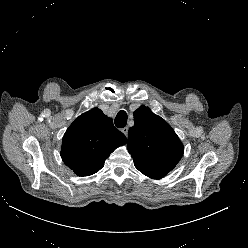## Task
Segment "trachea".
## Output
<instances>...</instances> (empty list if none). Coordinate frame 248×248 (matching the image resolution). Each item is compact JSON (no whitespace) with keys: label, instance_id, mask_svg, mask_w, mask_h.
I'll return each instance as SVG.
<instances>
[{"label":"trachea","instance_id":"1","mask_svg":"<svg viewBox=\"0 0 248 248\" xmlns=\"http://www.w3.org/2000/svg\"><path fill=\"white\" fill-rule=\"evenodd\" d=\"M127 124V113L124 110L118 112L115 118V126L118 128H123Z\"/></svg>","mask_w":248,"mask_h":248}]
</instances>
